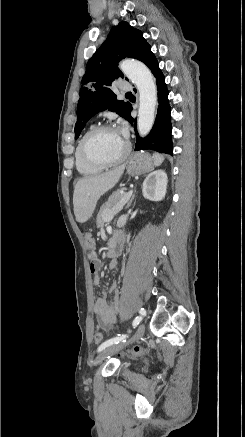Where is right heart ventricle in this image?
Returning <instances> with one entry per match:
<instances>
[{"instance_id":"1","label":"right heart ventricle","mask_w":245,"mask_h":437,"mask_svg":"<svg viewBox=\"0 0 245 437\" xmlns=\"http://www.w3.org/2000/svg\"><path fill=\"white\" fill-rule=\"evenodd\" d=\"M81 140H82V137L77 142L75 152H74L75 166H76L77 171L80 174L85 175V176L95 175V174L100 173L103 170V168L91 165L83 158L82 153H81V149H80Z\"/></svg>"}]
</instances>
